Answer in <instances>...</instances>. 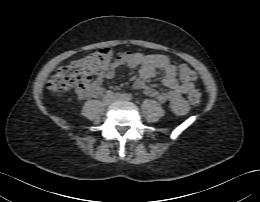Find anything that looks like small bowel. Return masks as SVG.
I'll list each match as a JSON object with an SVG mask.
<instances>
[{
  "mask_svg": "<svg viewBox=\"0 0 260 202\" xmlns=\"http://www.w3.org/2000/svg\"><path fill=\"white\" fill-rule=\"evenodd\" d=\"M119 66L130 69L139 67V78L134 84L136 90L157 99L162 104L168 103L177 114L183 115L187 112L188 107L182 96L193 90L194 84L192 82H179L175 66L164 54L125 53L119 56L110 68L98 74L97 79L88 80L85 88L77 91L78 97L83 99L100 94L102 91L101 80L114 78L116 68ZM157 71L162 73V83L167 91L147 84V80L154 78Z\"/></svg>",
  "mask_w": 260,
  "mask_h": 202,
  "instance_id": "1",
  "label": "small bowel"
}]
</instances>
